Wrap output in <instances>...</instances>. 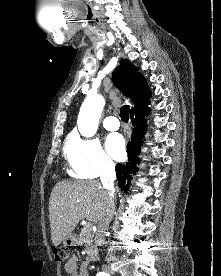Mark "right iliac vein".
Segmentation results:
<instances>
[{
  "label": "right iliac vein",
  "mask_w": 221,
  "mask_h": 276,
  "mask_svg": "<svg viewBox=\"0 0 221 276\" xmlns=\"http://www.w3.org/2000/svg\"><path fill=\"white\" fill-rule=\"evenodd\" d=\"M103 269H104L105 271H108V270H109L108 267H104Z\"/></svg>",
  "instance_id": "right-iliac-vein-1"
}]
</instances>
